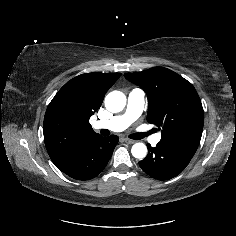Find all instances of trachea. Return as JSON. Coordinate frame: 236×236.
Masks as SVG:
<instances>
[{"label": "trachea", "mask_w": 236, "mask_h": 236, "mask_svg": "<svg viewBox=\"0 0 236 236\" xmlns=\"http://www.w3.org/2000/svg\"><path fill=\"white\" fill-rule=\"evenodd\" d=\"M153 132L152 131H149V132H146V133H135V134H131L129 136V138L131 139H134V140H140V139H143L144 137L152 134Z\"/></svg>", "instance_id": "obj_1"}]
</instances>
